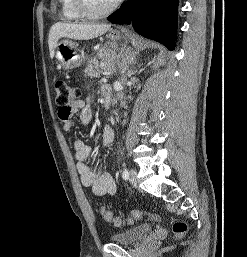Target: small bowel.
Here are the masks:
<instances>
[{"instance_id": "small-bowel-1", "label": "small bowel", "mask_w": 247, "mask_h": 257, "mask_svg": "<svg viewBox=\"0 0 247 257\" xmlns=\"http://www.w3.org/2000/svg\"><path fill=\"white\" fill-rule=\"evenodd\" d=\"M77 115L83 124H88L91 121L92 111L89 99L76 100L65 111L59 109L58 117L66 132L72 129ZM113 139L114 130L110 126H105L101 134V145L108 146L113 142ZM73 147L77 160L76 168L80 175L81 183L85 187L91 188L96 196L115 194L117 185L112 175L108 172L93 171L87 164L86 160L91 154V147L81 140H76Z\"/></svg>"}]
</instances>
